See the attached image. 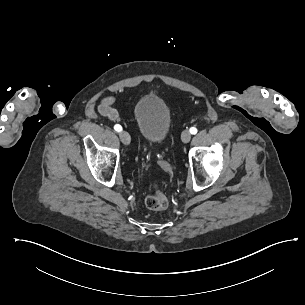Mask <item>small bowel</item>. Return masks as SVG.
Here are the masks:
<instances>
[{
  "label": "small bowel",
  "instance_id": "c3829d8e",
  "mask_svg": "<svg viewBox=\"0 0 305 305\" xmlns=\"http://www.w3.org/2000/svg\"><path fill=\"white\" fill-rule=\"evenodd\" d=\"M114 102H115L114 96L104 97L98 105V112L100 113V115L107 117L110 120L119 119L120 113L118 110L113 108Z\"/></svg>",
  "mask_w": 305,
  "mask_h": 305
}]
</instances>
